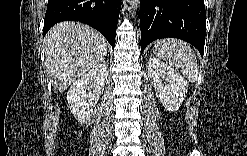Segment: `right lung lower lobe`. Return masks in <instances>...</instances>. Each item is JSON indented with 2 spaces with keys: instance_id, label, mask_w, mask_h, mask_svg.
Segmentation results:
<instances>
[{
  "instance_id": "98d812e1",
  "label": "right lung lower lobe",
  "mask_w": 247,
  "mask_h": 156,
  "mask_svg": "<svg viewBox=\"0 0 247 156\" xmlns=\"http://www.w3.org/2000/svg\"><path fill=\"white\" fill-rule=\"evenodd\" d=\"M120 7L121 0H48L43 36L58 22L79 21L97 29L114 48Z\"/></svg>"
}]
</instances>
